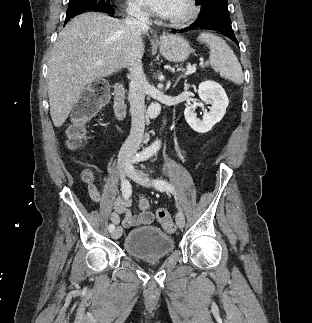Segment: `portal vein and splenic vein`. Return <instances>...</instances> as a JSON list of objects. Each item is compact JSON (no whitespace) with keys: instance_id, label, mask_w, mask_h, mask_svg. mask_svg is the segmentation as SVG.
Instances as JSON below:
<instances>
[{"instance_id":"1","label":"portal vein and splenic vein","mask_w":312,"mask_h":323,"mask_svg":"<svg viewBox=\"0 0 312 323\" xmlns=\"http://www.w3.org/2000/svg\"><path fill=\"white\" fill-rule=\"evenodd\" d=\"M97 66H105V64L104 62H95L93 68H97ZM194 72H196V68L191 66V68H188L187 72H185V76H190V74H194Z\"/></svg>"}]
</instances>
